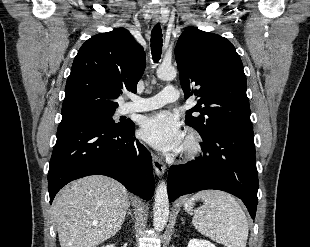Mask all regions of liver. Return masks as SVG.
<instances>
[{
    "instance_id": "liver-1",
    "label": "liver",
    "mask_w": 310,
    "mask_h": 247,
    "mask_svg": "<svg viewBox=\"0 0 310 247\" xmlns=\"http://www.w3.org/2000/svg\"><path fill=\"white\" fill-rule=\"evenodd\" d=\"M129 205L126 188L109 177L94 175L71 182L53 204L60 246H98L120 230Z\"/></svg>"
}]
</instances>
